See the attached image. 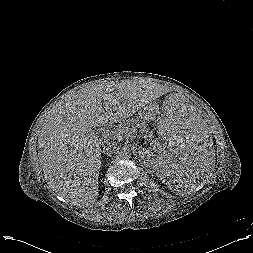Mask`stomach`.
<instances>
[{"mask_svg":"<svg viewBox=\"0 0 253 253\" xmlns=\"http://www.w3.org/2000/svg\"><path fill=\"white\" fill-rule=\"evenodd\" d=\"M153 104L143 107L140 109L139 114L141 119L143 120H152L154 118V114H153Z\"/></svg>","mask_w":253,"mask_h":253,"instance_id":"obj_1","label":"stomach"}]
</instances>
